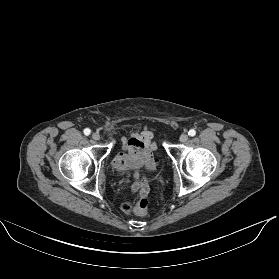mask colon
<instances>
[{
    "mask_svg": "<svg viewBox=\"0 0 279 279\" xmlns=\"http://www.w3.org/2000/svg\"><path fill=\"white\" fill-rule=\"evenodd\" d=\"M149 207V201L146 198L140 199L137 203L133 204L129 200L123 199L121 208L125 212H133L137 216L146 215Z\"/></svg>",
    "mask_w": 279,
    "mask_h": 279,
    "instance_id": "obj_1",
    "label": "colon"
}]
</instances>
